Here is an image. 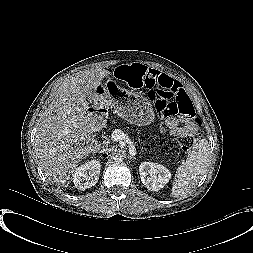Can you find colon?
<instances>
[{
	"label": "colon",
	"mask_w": 253,
	"mask_h": 253,
	"mask_svg": "<svg viewBox=\"0 0 253 253\" xmlns=\"http://www.w3.org/2000/svg\"><path fill=\"white\" fill-rule=\"evenodd\" d=\"M116 78L131 88L145 87L147 68L141 64L122 65L115 72ZM162 118L181 115L190 119V129L179 137V145L184 151L190 150L199 140L200 121L193 118L194 108L190 97L182 87L158 85L148 93Z\"/></svg>",
	"instance_id": "1"
}]
</instances>
